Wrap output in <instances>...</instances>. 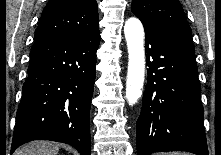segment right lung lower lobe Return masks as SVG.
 Here are the masks:
<instances>
[{
  "mask_svg": "<svg viewBox=\"0 0 221 155\" xmlns=\"http://www.w3.org/2000/svg\"><path fill=\"white\" fill-rule=\"evenodd\" d=\"M99 29L35 40L16 115L11 153L31 140H51L90 155L89 113Z\"/></svg>",
  "mask_w": 221,
  "mask_h": 155,
  "instance_id": "98d812e1",
  "label": "right lung lower lobe"
}]
</instances>
